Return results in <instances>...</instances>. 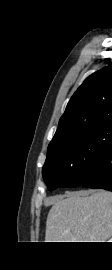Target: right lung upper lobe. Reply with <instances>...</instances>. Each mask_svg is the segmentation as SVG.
Wrapping results in <instances>:
<instances>
[{
	"mask_svg": "<svg viewBox=\"0 0 112 270\" xmlns=\"http://www.w3.org/2000/svg\"><path fill=\"white\" fill-rule=\"evenodd\" d=\"M112 122V63L89 76L71 97L48 148Z\"/></svg>",
	"mask_w": 112,
	"mask_h": 270,
	"instance_id": "right-lung-upper-lobe-1",
	"label": "right lung upper lobe"
}]
</instances>
